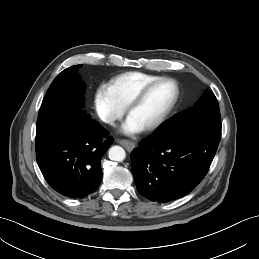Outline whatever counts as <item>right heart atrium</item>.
I'll return each instance as SVG.
<instances>
[{
	"label": "right heart atrium",
	"instance_id": "1",
	"mask_svg": "<svg viewBox=\"0 0 259 259\" xmlns=\"http://www.w3.org/2000/svg\"><path fill=\"white\" fill-rule=\"evenodd\" d=\"M94 108L98 117L109 125L121 119L125 112L124 108L114 101L105 86H100L95 90Z\"/></svg>",
	"mask_w": 259,
	"mask_h": 259
}]
</instances>
